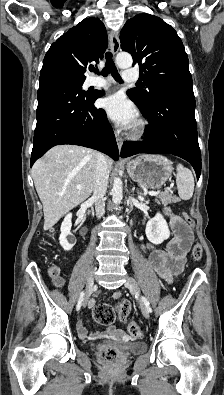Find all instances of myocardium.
Segmentation results:
<instances>
[{
  "instance_id": "1",
  "label": "myocardium",
  "mask_w": 224,
  "mask_h": 395,
  "mask_svg": "<svg viewBox=\"0 0 224 395\" xmlns=\"http://www.w3.org/2000/svg\"><path fill=\"white\" fill-rule=\"evenodd\" d=\"M147 124L143 119H139L135 122L131 130V137L140 138L146 132Z\"/></svg>"
}]
</instances>
